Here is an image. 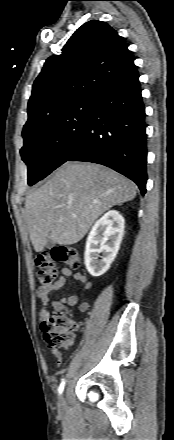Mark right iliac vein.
Returning a JSON list of instances; mask_svg holds the SVG:
<instances>
[{
  "instance_id": "63e3f726",
  "label": "right iliac vein",
  "mask_w": 174,
  "mask_h": 440,
  "mask_svg": "<svg viewBox=\"0 0 174 440\" xmlns=\"http://www.w3.org/2000/svg\"><path fill=\"white\" fill-rule=\"evenodd\" d=\"M57 408H58V412L60 415H64L66 410H67V406H66V400L64 395H61L58 402H57Z\"/></svg>"
}]
</instances>
